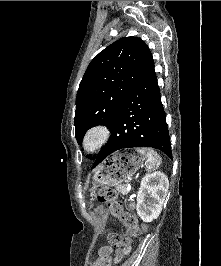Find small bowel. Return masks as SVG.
Here are the masks:
<instances>
[{"label": "small bowel", "instance_id": "small-bowel-1", "mask_svg": "<svg viewBox=\"0 0 221 266\" xmlns=\"http://www.w3.org/2000/svg\"><path fill=\"white\" fill-rule=\"evenodd\" d=\"M96 211L98 213H103L105 210L102 207H97ZM129 251H130V247H128V246L125 247L122 251H116L115 252V258H114L113 262L114 263L118 262L122 258V256L124 254H127ZM113 253H114V251H113V249L110 246L101 247L98 250V259L93 261V262H91L90 266H97V261L103 256L107 257V259H108V265L107 266H111L112 261L110 259V256Z\"/></svg>", "mask_w": 221, "mask_h": 266}]
</instances>
